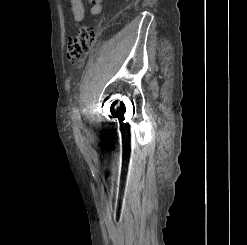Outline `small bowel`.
<instances>
[{"label":"small bowel","mask_w":247,"mask_h":245,"mask_svg":"<svg viewBox=\"0 0 247 245\" xmlns=\"http://www.w3.org/2000/svg\"><path fill=\"white\" fill-rule=\"evenodd\" d=\"M71 12L76 23H80L85 18V9L82 0H69ZM90 3L89 13L92 16L99 15L102 11V0H88Z\"/></svg>","instance_id":"c3829d8e"}]
</instances>
